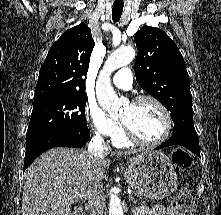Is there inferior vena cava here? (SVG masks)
Returning a JSON list of instances; mask_svg holds the SVG:
<instances>
[{"mask_svg": "<svg viewBox=\"0 0 221 215\" xmlns=\"http://www.w3.org/2000/svg\"><path fill=\"white\" fill-rule=\"evenodd\" d=\"M110 151V146H108L104 139L99 133H96L88 145L89 156L95 159H102ZM88 203L91 208V215H106L105 206L101 200V191H95L90 194L88 198Z\"/></svg>", "mask_w": 221, "mask_h": 215, "instance_id": "inferior-vena-cava-1", "label": "inferior vena cava"}]
</instances>
